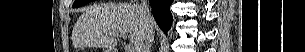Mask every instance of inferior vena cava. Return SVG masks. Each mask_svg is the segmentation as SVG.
I'll use <instances>...</instances> for the list:
<instances>
[{
	"instance_id": "1",
	"label": "inferior vena cava",
	"mask_w": 305,
	"mask_h": 52,
	"mask_svg": "<svg viewBox=\"0 0 305 52\" xmlns=\"http://www.w3.org/2000/svg\"><path fill=\"white\" fill-rule=\"evenodd\" d=\"M138 11L141 21L144 25V33L140 41L135 46V51L150 52V47L153 41L154 32H153V27L151 25L152 15L147 0H141V3L138 5Z\"/></svg>"
}]
</instances>
